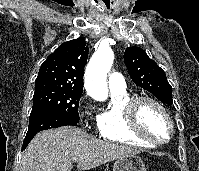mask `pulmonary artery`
Returning a JSON list of instances; mask_svg holds the SVG:
<instances>
[{"mask_svg": "<svg viewBox=\"0 0 199 171\" xmlns=\"http://www.w3.org/2000/svg\"><path fill=\"white\" fill-rule=\"evenodd\" d=\"M108 86L110 91H122L125 89V81L123 76L118 72H112L108 78Z\"/></svg>", "mask_w": 199, "mask_h": 171, "instance_id": "e3ab8cb5", "label": "pulmonary artery"}]
</instances>
